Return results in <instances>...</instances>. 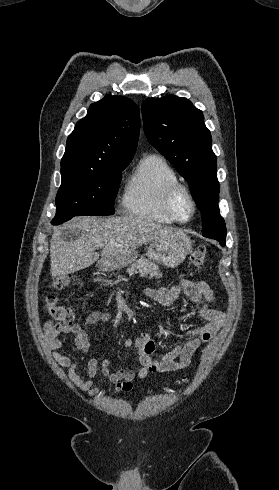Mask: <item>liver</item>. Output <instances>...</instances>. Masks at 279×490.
Returning <instances> with one entry per match:
<instances>
[{
  "mask_svg": "<svg viewBox=\"0 0 279 490\" xmlns=\"http://www.w3.org/2000/svg\"><path fill=\"white\" fill-rule=\"evenodd\" d=\"M65 226H76L81 230V238L75 242H64L61 238ZM187 240L190 238L178 228H164L137 216H119V218H88L79 216L67 222L61 228H55L51 238L50 260L51 276H65L78 270L89 268L101 256V260H111L124 254H130L147 242H165V240ZM102 248L101 254L95 252ZM99 260L98 264H100Z\"/></svg>",
  "mask_w": 279,
  "mask_h": 490,
  "instance_id": "liver-1",
  "label": "liver"
}]
</instances>
